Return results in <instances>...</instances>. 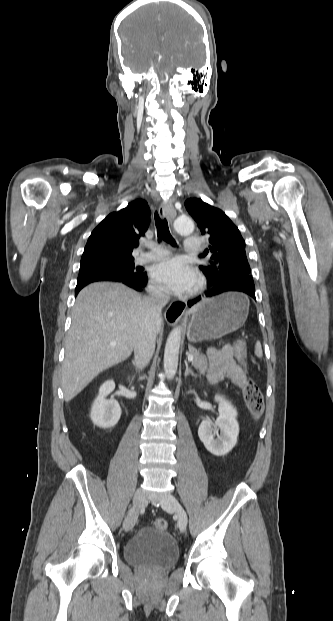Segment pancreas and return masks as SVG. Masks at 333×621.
<instances>
[{"mask_svg": "<svg viewBox=\"0 0 333 621\" xmlns=\"http://www.w3.org/2000/svg\"><path fill=\"white\" fill-rule=\"evenodd\" d=\"M188 355H193L194 360L192 366L199 371L200 374H205L208 369V362L206 356H204L199 350L192 346H189Z\"/></svg>", "mask_w": 333, "mask_h": 621, "instance_id": "1", "label": "pancreas"}]
</instances>
